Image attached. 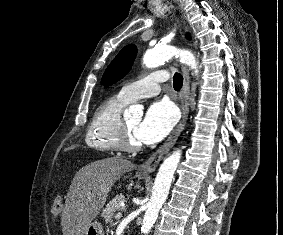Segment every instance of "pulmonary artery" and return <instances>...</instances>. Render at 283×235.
Instances as JSON below:
<instances>
[{"instance_id": "pulmonary-artery-1", "label": "pulmonary artery", "mask_w": 283, "mask_h": 235, "mask_svg": "<svg viewBox=\"0 0 283 235\" xmlns=\"http://www.w3.org/2000/svg\"><path fill=\"white\" fill-rule=\"evenodd\" d=\"M167 79L168 75L166 71H156L144 78L125 85L121 89L120 94L129 102L152 97L160 93L161 83L165 82Z\"/></svg>"}]
</instances>
